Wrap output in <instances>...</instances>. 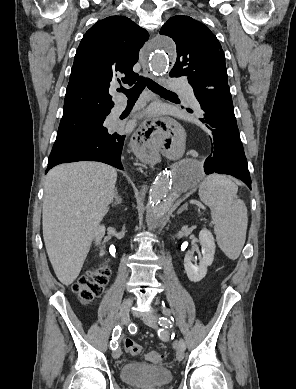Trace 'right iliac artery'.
Returning <instances> with one entry per match:
<instances>
[{"instance_id": "right-iliac-artery-1", "label": "right iliac artery", "mask_w": 296, "mask_h": 389, "mask_svg": "<svg viewBox=\"0 0 296 389\" xmlns=\"http://www.w3.org/2000/svg\"><path fill=\"white\" fill-rule=\"evenodd\" d=\"M120 334H121V327L119 325H117L114 330H113V333H112V341L110 342V347L112 350H115L117 349L118 347V338L120 337Z\"/></svg>"}]
</instances>
